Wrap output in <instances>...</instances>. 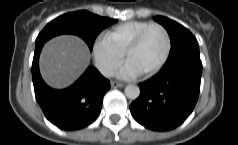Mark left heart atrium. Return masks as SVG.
Masks as SVG:
<instances>
[{"label": "left heart atrium", "instance_id": "obj_1", "mask_svg": "<svg viewBox=\"0 0 238 145\" xmlns=\"http://www.w3.org/2000/svg\"><path fill=\"white\" fill-rule=\"evenodd\" d=\"M139 75H140V72L129 61H126L117 71V76L122 79H133Z\"/></svg>", "mask_w": 238, "mask_h": 145}]
</instances>
